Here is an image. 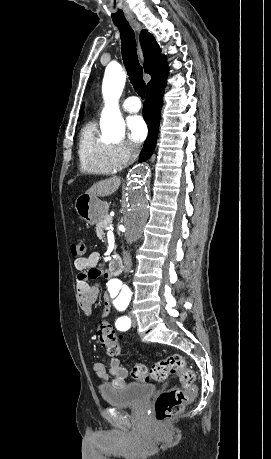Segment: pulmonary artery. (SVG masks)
I'll list each match as a JSON object with an SVG mask.
<instances>
[{"mask_svg": "<svg viewBox=\"0 0 271 459\" xmlns=\"http://www.w3.org/2000/svg\"><path fill=\"white\" fill-rule=\"evenodd\" d=\"M122 107L125 111L129 113H136L141 110L142 104L139 101L138 97L132 96L124 101Z\"/></svg>", "mask_w": 271, "mask_h": 459, "instance_id": "obj_1", "label": "pulmonary artery"}]
</instances>
